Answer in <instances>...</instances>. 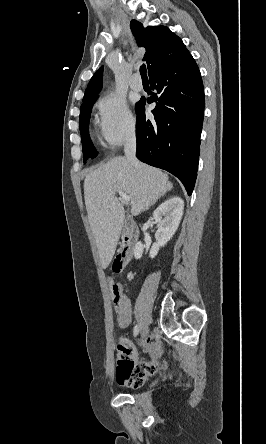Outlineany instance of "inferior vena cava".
Instances as JSON below:
<instances>
[{"label": "inferior vena cava", "mask_w": 266, "mask_h": 444, "mask_svg": "<svg viewBox=\"0 0 266 444\" xmlns=\"http://www.w3.org/2000/svg\"><path fill=\"white\" fill-rule=\"evenodd\" d=\"M124 153L127 160L131 162V164H138V160L136 158V135L134 131L131 132L125 140Z\"/></svg>", "instance_id": "1"}]
</instances>
